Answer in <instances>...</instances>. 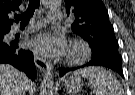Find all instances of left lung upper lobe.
Wrapping results in <instances>:
<instances>
[{"label": "left lung upper lobe", "mask_w": 135, "mask_h": 95, "mask_svg": "<svg viewBox=\"0 0 135 95\" xmlns=\"http://www.w3.org/2000/svg\"><path fill=\"white\" fill-rule=\"evenodd\" d=\"M67 15H74L72 31L89 43L92 54L118 52L114 29L102 0H65Z\"/></svg>", "instance_id": "left-lung-upper-lobe-1"}]
</instances>
